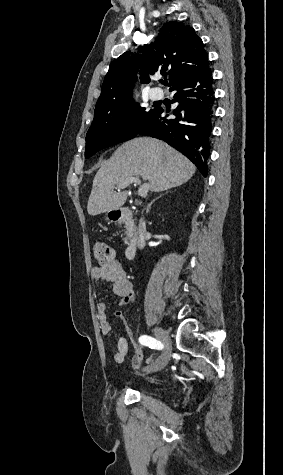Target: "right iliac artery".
<instances>
[{
	"mask_svg": "<svg viewBox=\"0 0 283 475\" xmlns=\"http://www.w3.org/2000/svg\"><path fill=\"white\" fill-rule=\"evenodd\" d=\"M139 342L144 345V346H148L149 348L151 349H155L157 348V345L160 343L159 341H157L156 339L150 337V336H147V335H143L139 338Z\"/></svg>",
	"mask_w": 283,
	"mask_h": 475,
	"instance_id": "obj_1",
	"label": "right iliac artery"
}]
</instances>
